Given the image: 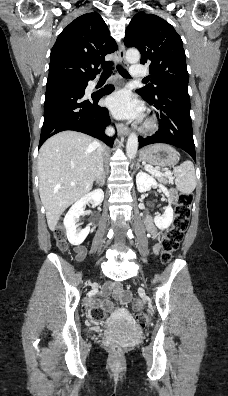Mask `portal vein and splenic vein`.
<instances>
[{
	"mask_svg": "<svg viewBox=\"0 0 228 396\" xmlns=\"http://www.w3.org/2000/svg\"><path fill=\"white\" fill-rule=\"evenodd\" d=\"M145 169L148 170V171H151L152 173L157 174V175H164V176H170L171 175L170 171H166L165 174H162V173H160L159 171H157L156 169H154L151 166H146Z\"/></svg>",
	"mask_w": 228,
	"mask_h": 396,
	"instance_id": "portal-vein-and-splenic-vein-1",
	"label": "portal vein and splenic vein"
}]
</instances>
